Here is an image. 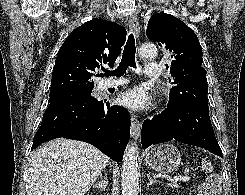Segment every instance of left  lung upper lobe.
Here are the masks:
<instances>
[{
	"label": "left lung upper lobe",
	"instance_id": "5c2ea615",
	"mask_svg": "<svg viewBox=\"0 0 245 195\" xmlns=\"http://www.w3.org/2000/svg\"><path fill=\"white\" fill-rule=\"evenodd\" d=\"M147 37L174 53L171 66H166L174 84L168 104L196 103L208 107L206 71L201 66L203 52L193 30L180 19L160 12L150 18Z\"/></svg>",
	"mask_w": 245,
	"mask_h": 195
}]
</instances>
